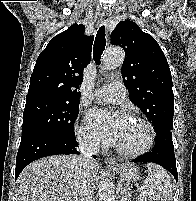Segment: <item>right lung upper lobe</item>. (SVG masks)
<instances>
[{
	"label": "right lung upper lobe",
	"instance_id": "right-lung-upper-lobe-1",
	"mask_svg": "<svg viewBox=\"0 0 196 201\" xmlns=\"http://www.w3.org/2000/svg\"><path fill=\"white\" fill-rule=\"evenodd\" d=\"M85 26L73 24L53 37L38 56L26 100L48 98L69 102L80 99L83 70L90 61L93 36L84 35Z\"/></svg>",
	"mask_w": 196,
	"mask_h": 201
}]
</instances>
